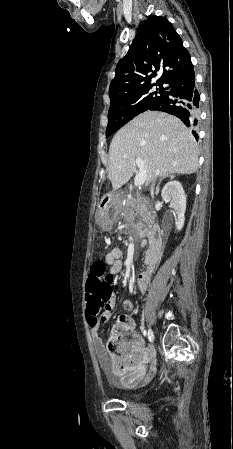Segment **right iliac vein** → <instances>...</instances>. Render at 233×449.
Returning <instances> with one entry per match:
<instances>
[{"instance_id":"obj_1","label":"right iliac vein","mask_w":233,"mask_h":449,"mask_svg":"<svg viewBox=\"0 0 233 449\" xmlns=\"http://www.w3.org/2000/svg\"><path fill=\"white\" fill-rule=\"evenodd\" d=\"M149 334H150V339H151V341H153V339H154V334H153V331H152L151 329H149Z\"/></svg>"}]
</instances>
